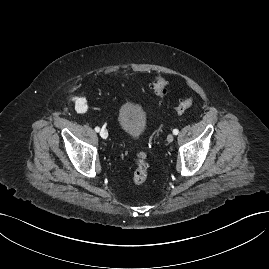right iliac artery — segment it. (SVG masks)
<instances>
[{"label":"right iliac artery","instance_id":"1","mask_svg":"<svg viewBox=\"0 0 269 269\" xmlns=\"http://www.w3.org/2000/svg\"><path fill=\"white\" fill-rule=\"evenodd\" d=\"M95 131L96 132H99L100 131V128L99 127H95Z\"/></svg>","mask_w":269,"mask_h":269}]
</instances>
